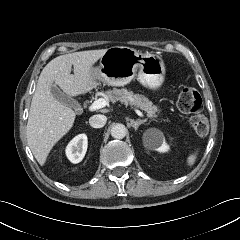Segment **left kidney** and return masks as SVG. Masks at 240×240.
Returning a JSON list of instances; mask_svg holds the SVG:
<instances>
[{"label":"left kidney","mask_w":240,"mask_h":240,"mask_svg":"<svg viewBox=\"0 0 240 240\" xmlns=\"http://www.w3.org/2000/svg\"><path fill=\"white\" fill-rule=\"evenodd\" d=\"M144 146L150 150L159 152H167L169 146L165 142L164 135L157 129H149L145 132L143 137Z\"/></svg>","instance_id":"obj_1"}]
</instances>
